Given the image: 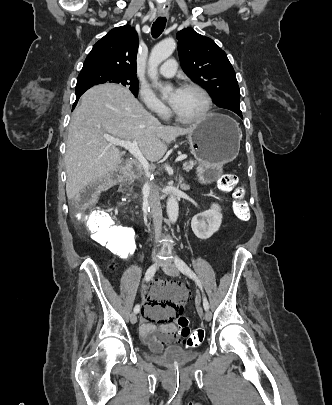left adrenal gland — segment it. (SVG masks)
Masks as SVG:
<instances>
[{
  "instance_id": "1",
  "label": "left adrenal gland",
  "mask_w": 332,
  "mask_h": 405,
  "mask_svg": "<svg viewBox=\"0 0 332 405\" xmlns=\"http://www.w3.org/2000/svg\"><path fill=\"white\" fill-rule=\"evenodd\" d=\"M182 182H183V177L180 176V178H179V184H180L181 188L184 189V190H188V189H189V186L186 185V184H184V183H182Z\"/></svg>"
}]
</instances>
